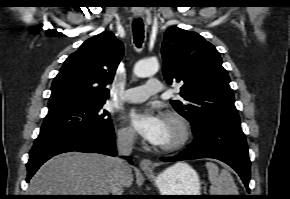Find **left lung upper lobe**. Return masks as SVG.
<instances>
[{"label": "left lung upper lobe", "instance_id": "1", "mask_svg": "<svg viewBox=\"0 0 290 199\" xmlns=\"http://www.w3.org/2000/svg\"><path fill=\"white\" fill-rule=\"evenodd\" d=\"M162 58L166 82L182 85L181 101L171 104L192 126L207 120L240 125L228 73L211 43L196 32L172 27L164 36Z\"/></svg>", "mask_w": 290, "mask_h": 199}]
</instances>
